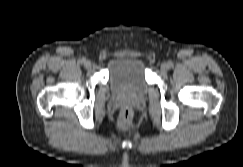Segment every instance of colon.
<instances>
[{
	"mask_svg": "<svg viewBox=\"0 0 243 167\" xmlns=\"http://www.w3.org/2000/svg\"><path fill=\"white\" fill-rule=\"evenodd\" d=\"M118 126L123 130H128L133 126V113L130 108H124L121 110L119 119H118Z\"/></svg>",
	"mask_w": 243,
	"mask_h": 167,
	"instance_id": "1",
	"label": "colon"
}]
</instances>
